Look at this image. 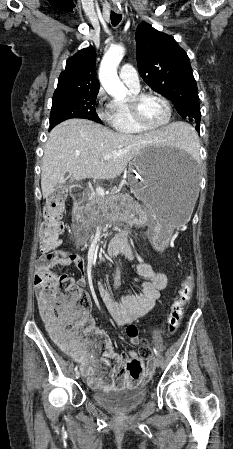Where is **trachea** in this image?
Wrapping results in <instances>:
<instances>
[{
  "instance_id": "obj_1",
  "label": "trachea",
  "mask_w": 233,
  "mask_h": 449,
  "mask_svg": "<svg viewBox=\"0 0 233 449\" xmlns=\"http://www.w3.org/2000/svg\"><path fill=\"white\" fill-rule=\"evenodd\" d=\"M110 18H111L112 25L113 26H117L120 23L121 19H122V15L111 11Z\"/></svg>"
}]
</instances>
